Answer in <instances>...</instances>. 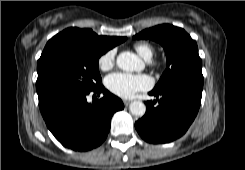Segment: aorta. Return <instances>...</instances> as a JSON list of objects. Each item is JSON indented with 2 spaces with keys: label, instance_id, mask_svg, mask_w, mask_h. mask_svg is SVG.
<instances>
[{
  "label": "aorta",
  "instance_id": "762f6f07",
  "mask_svg": "<svg viewBox=\"0 0 245 170\" xmlns=\"http://www.w3.org/2000/svg\"><path fill=\"white\" fill-rule=\"evenodd\" d=\"M117 65L120 69L126 72L140 71L143 68L142 61L137 55L132 52H122L117 57ZM130 112L135 115L142 117L146 112V106L141 101L131 102Z\"/></svg>",
  "mask_w": 245,
  "mask_h": 170
}]
</instances>
